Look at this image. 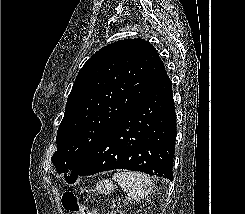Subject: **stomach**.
Segmentation results:
<instances>
[{
	"mask_svg": "<svg viewBox=\"0 0 245 214\" xmlns=\"http://www.w3.org/2000/svg\"><path fill=\"white\" fill-rule=\"evenodd\" d=\"M113 190H114L113 182L109 179H104L102 181H99L95 187V191L105 195L111 193V191Z\"/></svg>",
	"mask_w": 245,
	"mask_h": 214,
	"instance_id": "obj_1",
	"label": "stomach"
}]
</instances>
